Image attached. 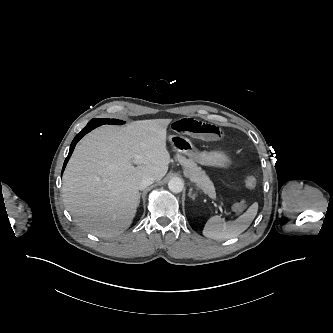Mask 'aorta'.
Masks as SVG:
<instances>
[{
	"label": "aorta",
	"instance_id": "762f6f07",
	"mask_svg": "<svg viewBox=\"0 0 333 333\" xmlns=\"http://www.w3.org/2000/svg\"><path fill=\"white\" fill-rule=\"evenodd\" d=\"M183 187L184 183L180 178H172L168 182V188L173 193H180Z\"/></svg>",
	"mask_w": 333,
	"mask_h": 333
}]
</instances>
